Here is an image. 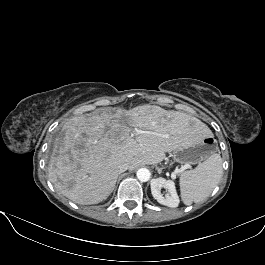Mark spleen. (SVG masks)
<instances>
[{
	"mask_svg": "<svg viewBox=\"0 0 265 265\" xmlns=\"http://www.w3.org/2000/svg\"><path fill=\"white\" fill-rule=\"evenodd\" d=\"M222 158L213 153L195 169L180 175L181 199L185 205L205 200L222 177Z\"/></svg>",
	"mask_w": 265,
	"mask_h": 265,
	"instance_id": "3e777b00",
	"label": "spleen"
}]
</instances>
